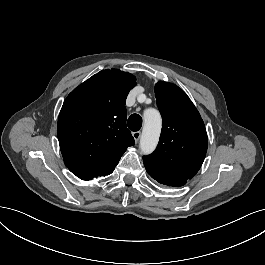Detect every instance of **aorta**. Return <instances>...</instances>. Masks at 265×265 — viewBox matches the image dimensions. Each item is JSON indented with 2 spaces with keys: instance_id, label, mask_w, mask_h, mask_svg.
I'll list each match as a JSON object with an SVG mask.
<instances>
[{
  "instance_id": "1",
  "label": "aorta",
  "mask_w": 265,
  "mask_h": 265,
  "mask_svg": "<svg viewBox=\"0 0 265 265\" xmlns=\"http://www.w3.org/2000/svg\"><path fill=\"white\" fill-rule=\"evenodd\" d=\"M144 125L141 133L139 148L142 154L152 153L159 140L161 117L158 110L148 108L144 111Z\"/></svg>"
}]
</instances>
